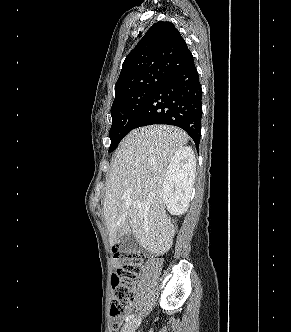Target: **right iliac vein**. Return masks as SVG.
Wrapping results in <instances>:
<instances>
[{
	"label": "right iliac vein",
	"mask_w": 291,
	"mask_h": 332,
	"mask_svg": "<svg viewBox=\"0 0 291 332\" xmlns=\"http://www.w3.org/2000/svg\"><path fill=\"white\" fill-rule=\"evenodd\" d=\"M139 324H140L139 319L132 320L124 325L121 332H135Z\"/></svg>",
	"instance_id": "right-iliac-vein-1"
}]
</instances>
